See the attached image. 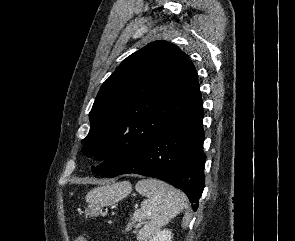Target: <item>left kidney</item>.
<instances>
[{
    "instance_id": "left-kidney-1",
    "label": "left kidney",
    "mask_w": 295,
    "mask_h": 241,
    "mask_svg": "<svg viewBox=\"0 0 295 241\" xmlns=\"http://www.w3.org/2000/svg\"><path fill=\"white\" fill-rule=\"evenodd\" d=\"M149 241H172V233L168 229L159 231L151 240Z\"/></svg>"
}]
</instances>
